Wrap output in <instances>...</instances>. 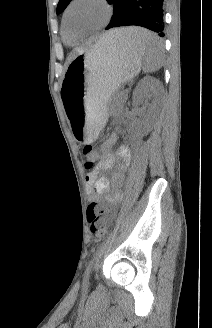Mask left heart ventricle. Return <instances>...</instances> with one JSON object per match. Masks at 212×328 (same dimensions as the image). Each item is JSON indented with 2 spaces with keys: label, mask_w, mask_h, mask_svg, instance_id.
I'll list each match as a JSON object with an SVG mask.
<instances>
[{
  "label": "left heart ventricle",
  "mask_w": 212,
  "mask_h": 328,
  "mask_svg": "<svg viewBox=\"0 0 212 328\" xmlns=\"http://www.w3.org/2000/svg\"><path fill=\"white\" fill-rule=\"evenodd\" d=\"M106 16L105 9L94 0H83L69 12L68 23L71 34L84 33L100 25Z\"/></svg>",
  "instance_id": "1"
}]
</instances>
